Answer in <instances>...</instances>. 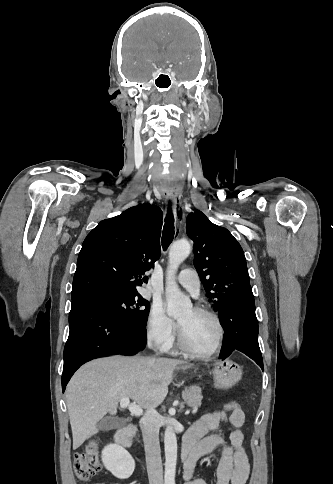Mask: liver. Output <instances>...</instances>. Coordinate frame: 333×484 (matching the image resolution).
<instances>
[{"label":"liver","instance_id":"liver-1","mask_svg":"<svg viewBox=\"0 0 333 484\" xmlns=\"http://www.w3.org/2000/svg\"><path fill=\"white\" fill-rule=\"evenodd\" d=\"M186 361L154 357L113 356L82 366L69 381L65 397L73 436V449L98 432L107 413L116 414L125 397L142 409H155L166 398L177 368Z\"/></svg>","mask_w":333,"mask_h":484}]
</instances>
